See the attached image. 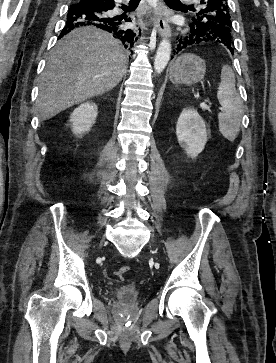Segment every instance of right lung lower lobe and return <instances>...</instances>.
I'll list each match as a JSON object with an SVG mask.
<instances>
[{
	"label": "right lung lower lobe",
	"instance_id": "1",
	"mask_svg": "<svg viewBox=\"0 0 276 363\" xmlns=\"http://www.w3.org/2000/svg\"><path fill=\"white\" fill-rule=\"evenodd\" d=\"M114 7V1L75 0L69 7L66 25L59 38L74 28L95 26L111 33L123 43L125 48L132 52L131 49L134 47L139 35L131 29H127L119 17L111 18L108 16V11Z\"/></svg>",
	"mask_w": 276,
	"mask_h": 363
}]
</instances>
